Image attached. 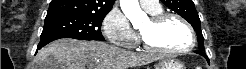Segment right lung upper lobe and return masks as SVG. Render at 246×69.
I'll return each instance as SVG.
<instances>
[{
    "instance_id": "cb5924a9",
    "label": "right lung upper lobe",
    "mask_w": 246,
    "mask_h": 69,
    "mask_svg": "<svg viewBox=\"0 0 246 69\" xmlns=\"http://www.w3.org/2000/svg\"><path fill=\"white\" fill-rule=\"evenodd\" d=\"M114 0H52L46 18L61 15H106Z\"/></svg>"
}]
</instances>
